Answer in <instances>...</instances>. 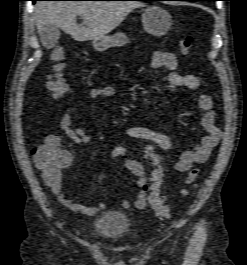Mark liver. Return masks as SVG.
I'll return each instance as SVG.
<instances>
[{"label":"liver","instance_id":"liver-1","mask_svg":"<svg viewBox=\"0 0 247 265\" xmlns=\"http://www.w3.org/2000/svg\"><path fill=\"white\" fill-rule=\"evenodd\" d=\"M143 5L136 1H38L33 18L38 32L52 24L74 40L84 42L105 37L132 10ZM78 15L83 18L80 25L76 23Z\"/></svg>","mask_w":247,"mask_h":265}]
</instances>
